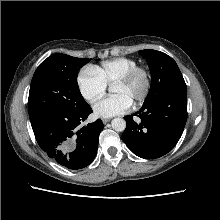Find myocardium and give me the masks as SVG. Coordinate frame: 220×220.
Wrapping results in <instances>:
<instances>
[{
  "instance_id": "1",
  "label": "myocardium",
  "mask_w": 220,
  "mask_h": 220,
  "mask_svg": "<svg viewBox=\"0 0 220 220\" xmlns=\"http://www.w3.org/2000/svg\"><path fill=\"white\" fill-rule=\"evenodd\" d=\"M141 76L144 81L143 85V90L142 93L133 101L134 104H140L144 102L152 87V74L149 69L142 67V66H137L130 70L128 73H126L124 76L119 78L114 84V85H128L131 82H133L137 77Z\"/></svg>"
}]
</instances>
